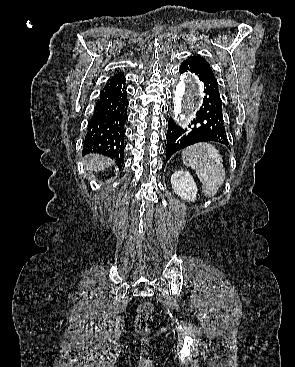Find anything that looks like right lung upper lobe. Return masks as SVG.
<instances>
[{
    "mask_svg": "<svg viewBox=\"0 0 295 367\" xmlns=\"http://www.w3.org/2000/svg\"><path fill=\"white\" fill-rule=\"evenodd\" d=\"M121 77H123V74L119 72V73L115 74V75L112 77V79H114V78H121Z\"/></svg>",
    "mask_w": 295,
    "mask_h": 367,
    "instance_id": "cb5924a9",
    "label": "right lung upper lobe"
}]
</instances>
